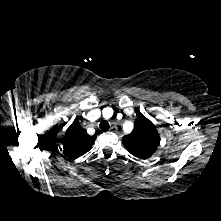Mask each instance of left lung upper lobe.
<instances>
[{"label": "left lung upper lobe", "instance_id": "1", "mask_svg": "<svg viewBox=\"0 0 221 221\" xmlns=\"http://www.w3.org/2000/svg\"><path fill=\"white\" fill-rule=\"evenodd\" d=\"M132 133L122 139L127 151L140 159H147L160 144L156 127L142 113H139Z\"/></svg>", "mask_w": 221, "mask_h": 221}]
</instances>
